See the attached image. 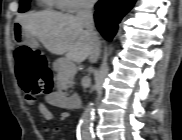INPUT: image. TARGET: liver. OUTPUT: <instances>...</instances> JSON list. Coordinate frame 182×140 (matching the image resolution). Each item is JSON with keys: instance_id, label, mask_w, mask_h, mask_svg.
Listing matches in <instances>:
<instances>
[{"instance_id": "obj_1", "label": "liver", "mask_w": 182, "mask_h": 140, "mask_svg": "<svg viewBox=\"0 0 182 140\" xmlns=\"http://www.w3.org/2000/svg\"><path fill=\"white\" fill-rule=\"evenodd\" d=\"M17 21L25 37L37 38L53 54H65L76 63L90 55V36L74 15L41 11L18 16Z\"/></svg>"}]
</instances>
